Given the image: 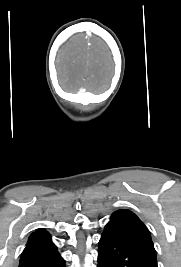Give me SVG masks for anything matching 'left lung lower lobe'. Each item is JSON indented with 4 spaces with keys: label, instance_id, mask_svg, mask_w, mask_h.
<instances>
[{
    "label": "left lung lower lobe",
    "instance_id": "left-lung-lower-lobe-1",
    "mask_svg": "<svg viewBox=\"0 0 181 267\" xmlns=\"http://www.w3.org/2000/svg\"><path fill=\"white\" fill-rule=\"evenodd\" d=\"M98 267H157L153 244L117 225H106L99 241Z\"/></svg>",
    "mask_w": 181,
    "mask_h": 267
}]
</instances>
